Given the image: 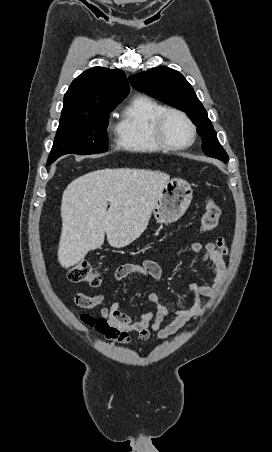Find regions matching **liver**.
Instances as JSON below:
<instances>
[{"mask_svg": "<svg viewBox=\"0 0 272 452\" xmlns=\"http://www.w3.org/2000/svg\"><path fill=\"white\" fill-rule=\"evenodd\" d=\"M169 179L160 171L132 168H106L74 179L62 195L61 266L68 269L100 248L105 233L115 248L140 237Z\"/></svg>", "mask_w": 272, "mask_h": 452, "instance_id": "1", "label": "liver"}]
</instances>
